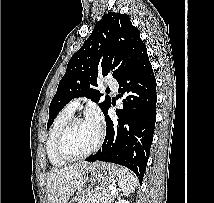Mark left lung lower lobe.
<instances>
[{"mask_svg":"<svg viewBox=\"0 0 214 203\" xmlns=\"http://www.w3.org/2000/svg\"><path fill=\"white\" fill-rule=\"evenodd\" d=\"M123 109L112 120L107 111L106 137L102 148L86 161H105L131 169L142 183L156 122V79L146 48L117 80Z\"/></svg>","mask_w":214,"mask_h":203,"instance_id":"0a47b994","label":"left lung lower lobe"}]
</instances>
